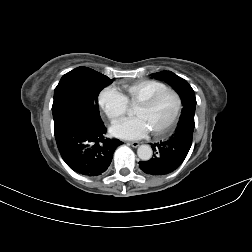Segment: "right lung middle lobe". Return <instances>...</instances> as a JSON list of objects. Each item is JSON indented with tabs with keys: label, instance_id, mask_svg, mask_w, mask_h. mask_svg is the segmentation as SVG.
<instances>
[{
	"label": "right lung middle lobe",
	"instance_id": "obj_1",
	"mask_svg": "<svg viewBox=\"0 0 252 252\" xmlns=\"http://www.w3.org/2000/svg\"><path fill=\"white\" fill-rule=\"evenodd\" d=\"M113 79L88 67H78L61 78L54 90L53 119L65 114H77L102 122L98 95Z\"/></svg>",
	"mask_w": 252,
	"mask_h": 252
}]
</instances>
